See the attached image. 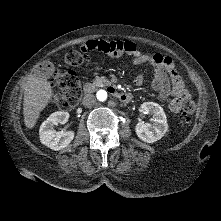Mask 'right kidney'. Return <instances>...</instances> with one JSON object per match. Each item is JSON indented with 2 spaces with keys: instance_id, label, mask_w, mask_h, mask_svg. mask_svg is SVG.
I'll list each match as a JSON object with an SVG mask.
<instances>
[{
  "instance_id": "obj_1",
  "label": "right kidney",
  "mask_w": 221,
  "mask_h": 221,
  "mask_svg": "<svg viewBox=\"0 0 221 221\" xmlns=\"http://www.w3.org/2000/svg\"><path fill=\"white\" fill-rule=\"evenodd\" d=\"M68 118V112L58 111L52 113L40 126L39 135L41 143L53 150L65 148L73 140L74 132H57L54 130V127L58 124H65Z\"/></svg>"
}]
</instances>
